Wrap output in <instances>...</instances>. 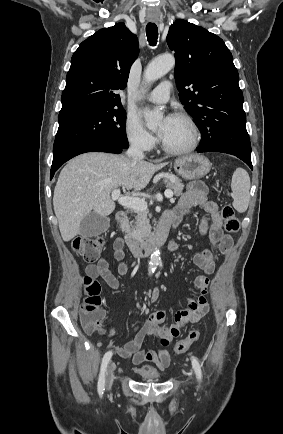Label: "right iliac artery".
I'll return each instance as SVG.
<instances>
[{
  "label": "right iliac artery",
  "mask_w": 283,
  "mask_h": 434,
  "mask_svg": "<svg viewBox=\"0 0 283 434\" xmlns=\"http://www.w3.org/2000/svg\"><path fill=\"white\" fill-rule=\"evenodd\" d=\"M112 354H113L112 351H108L105 353L102 359L101 370L98 379V392L100 394H102L105 389V374L107 370V365L112 357Z\"/></svg>",
  "instance_id": "82829eb1"
}]
</instances>
